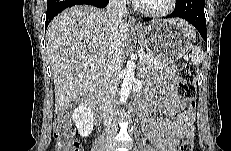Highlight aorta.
<instances>
[{"label":"aorta","instance_id":"aorta-1","mask_svg":"<svg viewBox=\"0 0 231 151\" xmlns=\"http://www.w3.org/2000/svg\"><path fill=\"white\" fill-rule=\"evenodd\" d=\"M134 69H135V63L133 61H128L126 64V68L124 70L125 76L120 90L121 104L126 103L129 94L131 92L132 84L135 81Z\"/></svg>","mask_w":231,"mask_h":151}]
</instances>
